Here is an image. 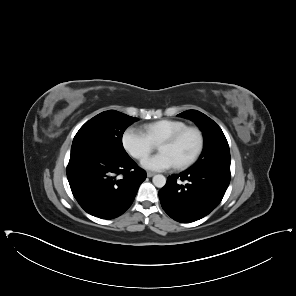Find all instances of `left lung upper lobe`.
<instances>
[{
	"mask_svg": "<svg viewBox=\"0 0 296 296\" xmlns=\"http://www.w3.org/2000/svg\"><path fill=\"white\" fill-rule=\"evenodd\" d=\"M178 116L194 121L203 132L204 148L192 168L230 169L229 146L221 128L212 119L197 110H188Z\"/></svg>",
	"mask_w": 296,
	"mask_h": 296,
	"instance_id": "left-lung-upper-lobe-1",
	"label": "left lung upper lobe"
}]
</instances>
